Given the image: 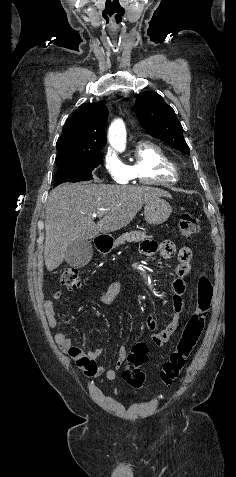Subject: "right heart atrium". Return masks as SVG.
Here are the masks:
<instances>
[{"mask_svg":"<svg viewBox=\"0 0 236 477\" xmlns=\"http://www.w3.org/2000/svg\"><path fill=\"white\" fill-rule=\"evenodd\" d=\"M104 167L111 178L117 183L126 184L131 179L127 166L110 151H108L104 157Z\"/></svg>","mask_w":236,"mask_h":477,"instance_id":"right-heart-atrium-1","label":"right heart atrium"}]
</instances>
